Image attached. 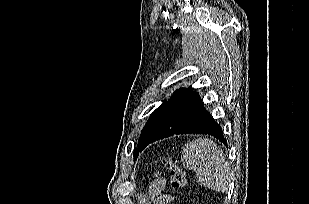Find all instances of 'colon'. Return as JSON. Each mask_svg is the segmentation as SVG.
Masks as SVG:
<instances>
[{"mask_svg":"<svg viewBox=\"0 0 309 204\" xmlns=\"http://www.w3.org/2000/svg\"><path fill=\"white\" fill-rule=\"evenodd\" d=\"M160 161L168 169L172 188L174 190L181 189L186 178L183 169L170 157L161 158Z\"/></svg>","mask_w":309,"mask_h":204,"instance_id":"colon-1","label":"colon"}]
</instances>
